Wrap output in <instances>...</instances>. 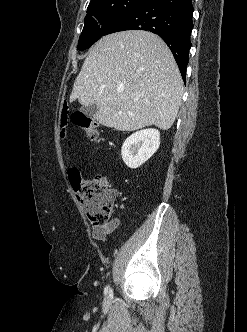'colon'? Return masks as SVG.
I'll return each mask as SVG.
<instances>
[{
  "label": "colon",
  "mask_w": 247,
  "mask_h": 332,
  "mask_svg": "<svg viewBox=\"0 0 247 332\" xmlns=\"http://www.w3.org/2000/svg\"><path fill=\"white\" fill-rule=\"evenodd\" d=\"M71 122L79 127L92 141H99L98 123L83 113H73L69 116L68 105L65 104L61 114V135H66V126ZM70 180L78 200L85 210L89 220L94 225L108 223L113 213L114 191L110 188L109 180L103 175L90 178L81 177L76 171L70 173Z\"/></svg>",
  "instance_id": "colon-1"
}]
</instances>
